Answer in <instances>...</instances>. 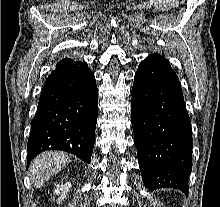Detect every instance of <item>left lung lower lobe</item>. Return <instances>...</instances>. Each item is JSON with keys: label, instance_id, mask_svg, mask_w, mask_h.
I'll return each instance as SVG.
<instances>
[{"label": "left lung lower lobe", "instance_id": "obj_1", "mask_svg": "<svg viewBox=\"0 0 220 207\" xmlns=\"http://www.w3.org/2000/svg\"><path fill=\"white\" fill-rule=\"evenodd\" d=\"M132 126L142 179L151 190L178 189L188 195L192 130L181 85L169 62L149 55L132 88Z\"/></svg>", "mask_w": 220, "mask_h": 207}]
</instances>
